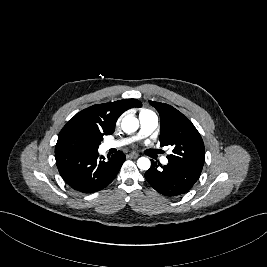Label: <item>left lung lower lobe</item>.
<instances>
[{"label":"left lung lower lobe","instance_id":"1","mask_svg":"<svg viewBox=\"0 0 267 267\" xmlns=\"http://www.w3.org/2000/svg\"><path fill=\"white\" fill-rule=\"evenodd\" d=\"M201 171L176 163L162 166L151 160L145 173L148 183L160 194L173 197L188 192L199 179Z\"/></svg>","mask_w":267,"mask_h":267}]
</instances>
